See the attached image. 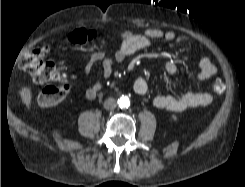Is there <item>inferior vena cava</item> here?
I'll return each mask as SVG.
<instances>
[{"label": "inferior vena cava", "mask_w": 245, "mask_h": 187, "mask_svg": "<svg viewBox=\"0 0 245 187\" xmlns=\"http://www.w3.org/2000/svg\"><path fill=\"white\" fill-rule=\"evenodd\" d=\"M103 106L106 110H113L116 108L117 103H116L115 99L109 98V99L105 100Z\"/></svg>", "instance_id": "602c4592"}]
</instances>
